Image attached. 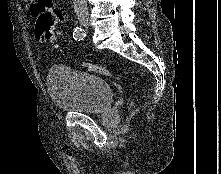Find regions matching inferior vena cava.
Masks as SVG:
<instances>
[{"label": "inferior vena cava", "mask_w": 221, "mask_h": 174, "mask_svg": "<svg viewBox=\"0 0 221 174\" xmlns=\"http://www.w3.org/2000/svg\"><path fill=\"white\" fill-rule=\"evenodd\" d=\"M74 1V8L76 15L78 18L84 17L88 15V7L86 0H73Z\"/></svg>", "instance_id": "1"}]
</instances>
